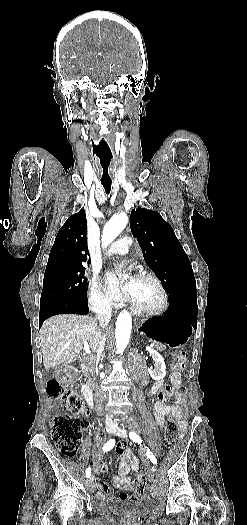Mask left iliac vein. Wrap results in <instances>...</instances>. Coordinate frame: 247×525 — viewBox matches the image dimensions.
I'll use <instances>...</instances> for the list:
<instances>
[{
	"label": "left iliac vein",
	"mask_w": 247,
	"mask_h": 525,
	"mask_svg": "<svg viewBox=\"0 0 247 525\" xmlns=\"http://www.w3.org/2000/svg\"><path fill=\"white\" fill-rule=\"evenodd\" d=\"M114 434L118 437H121V438H127V434L122 431L119 427L115 426L114 427ZM151 472L152 473H155L156 472V467L155 466H151Z\"/></svg>",
	"instance_id": "4c4485c4"
}]
</instances>
